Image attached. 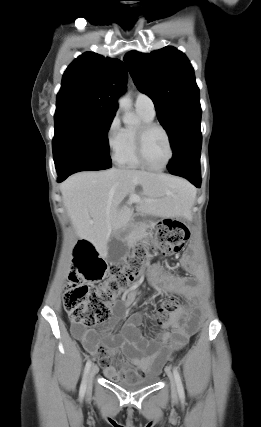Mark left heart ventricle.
<instances>
[{
    "label": "left heart ventricle",
    "instance_id": "1",
    "mask_svg": "<svg viewBox=\"0 0 261 427\" xmlns=\"http://www.w3.org/2000/svg\"><path fill=\"white\" fill-rule=\"evenodd\" d=\"M145 155L153 166H162L169 157V147L166 137L160 130L148 134L145 141Z\"/></svg>",
    "mask_w": 261,
    "mask_h": 427
}]
</instances>
